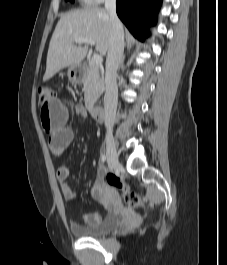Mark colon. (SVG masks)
<instances>
[{"instance_id":"colon-1","label":"colon","mask_w":227,"mask_h":265,"mask_svg":"<svg viewBox=\"0 0 227 265\" xmlns=\"http://www.w3.org/2000/svg\"><path fill=\"white\" fill-rule=\"evenodd\" d=\"M39 103L50 102L54 98L53 90L47 85H40L37 90ZM106 180L111 187L116 188L122 195L124 202L131 207H139L143 205L141 198L131 190L126 184L124 178L117 173H109Z\"/></svg>"}]
</instances>
